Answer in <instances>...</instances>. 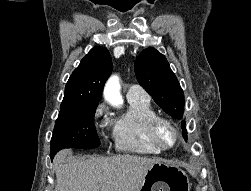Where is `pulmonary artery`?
I'll return each instance as SVG.
<instances>
[{
  "label": "pulmonary artery",
  "mask_w": 251,
  "mask_h": 191,
  "mask_svg": "<svg viewBox=\"0 0 251 191\" xmlns=\"http://www.w3.org/2000/svg\"><path fill=\"white\" fill-rule=\"evenodd\" d=\"M126 96L128 99H135V98L143 97V93L139 89H137L135 86H129L127 89ZM145 98L151 100V97L148 95H145Z\"/></svg>",
  "instance_id": "obj_1"
}]
</instances>
